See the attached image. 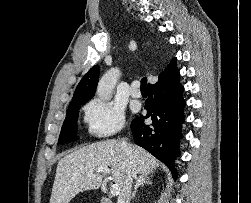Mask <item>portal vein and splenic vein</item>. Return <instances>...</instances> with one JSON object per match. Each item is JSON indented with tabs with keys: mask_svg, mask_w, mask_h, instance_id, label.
Here are the masks:
<instances>
[{
	"mask_svg": "<svg viewBox=\"0 0 251 203\" xmlns=\"http://www.w3.org/2000/svg\"><path fill=\"white\" fill-rule=\"evenodd\" d=\"M97 173L109 174L110 169L106 167H99L96 171ZM110 193L114 196H117L120 193V186L118 184H112L110 186Z\"/></svg>",
	"mask_w": 251,
	"mask_h": 203,
	"instance_id": "obj_1",
	"label": "portal vein and splenic vein"
}]
</instances>
